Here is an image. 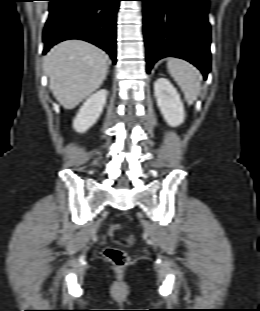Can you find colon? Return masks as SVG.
Segmentation results:
<instances>
[{
  "label": "colon",
  "instance_id": "5ec220e1",
  "mask_svg": "<svg viewBox=\"0 0 260 311\" xmlns=\"http://www.w3.org/2000/svg\"><path fill=\"white\" fill-rule=\"evenodd\" d=\"M121 230V226L118 224H112L109 228V234L114 236L117 232ZM104 257L110 262L112 265L116 267H123L128 262V255L127 253L115 247L106 248L103 252Z\"/></svg>",
  "mask_w": 260,
  "mask_h": 311
}]
</instances>
